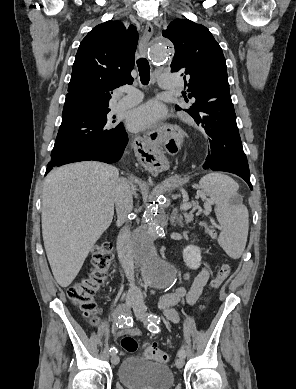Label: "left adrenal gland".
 <instances>
[{"mask_svg":"<svg viewBox=\"0 0 296 389\" xmlns=\"http://www.w3.org/2000/svg\"><path fill=\"white\" fill-rule=\"evenodd\" d=\"M170 224L172 226H176V224L180 225L181 227H183V218L181 215H178V209L175 208L172 213H171V216H170Z\"/></svg>","mask_w":296,"mask_h":389,"instance_id":"a2214340","label":"left adrenal gland"}]
</instances>
